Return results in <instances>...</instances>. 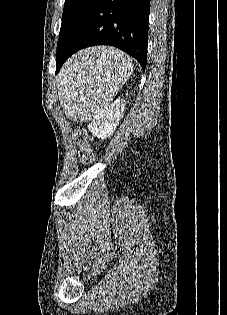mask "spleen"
<instances>
[{"instance_id": "spleen-1", "label": "spleen", "mask_w": 227, "mask_h": 315, "mask_svg": "<svg viewBox=\"0 0 227 315\" xmlns=\"http://www.w3.org/2000/svg\"><path fill=\"white\" fill-rule=\"evenodd\" d=\"M133 71L132 59L112 47L80 51L59 75L58 96L65 114L82 122L107 107Z\"/></svg>"}]
</instances>
